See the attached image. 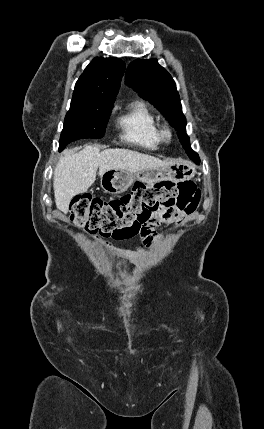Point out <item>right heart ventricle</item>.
<instances>
[{
  "label": "right heart ventricle",
  "instance_id": "e07e8e85",
  "mask_svg": "<svg viewBox=\"0 0 264 429\" xmlns=\"http://www.w3.org/2000/svg\"><path fill=\"white\" fill-rule=\"evenodd\" d=\"M122 140L146 149H156L162 143L156 115L142 101L132 102L118 117Z\"/></svg>",
  "mask_w": 264,
  "mask_h": 429
}]
</instances>
